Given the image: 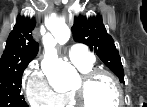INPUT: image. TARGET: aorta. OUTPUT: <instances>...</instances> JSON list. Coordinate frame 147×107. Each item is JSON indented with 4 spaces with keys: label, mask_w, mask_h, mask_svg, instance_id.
Returning <instances> with one entry per match:
<instances>
[{
    "label": "aorta",
    "mask_w": 147,
    "mask_h": 107,
    "mask_svg": "<svg viewBox=\"0 0 147 107\" xmlns=\"http://www.w3.org/2000/svg\"><path fill=\"white\" fill-rule=\"evenodd\" d=\"M70 38L69 29L63 32V39L67 41ZM44 58L41 62L42 71L48 77L49 84L54 89L67 88L78 76L75 68L68 62L60 61L55 49L56 40L51 35L43 38Z\"/></svg>",
    "instance_id": "obj_1"
}]
</instances>
